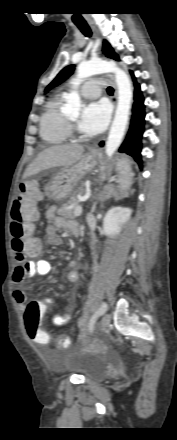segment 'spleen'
I'll list each match as a JSON object with an SVG mask.
<instances>
[{
  "mask_svg": "<svg viewBox=\"0 0 177 440\" xmlns=\"http://www.w3.org/2000/svg\"><path fill=\"white\" fill-rule=\"evenodd\" d=\"M123 167V169L125 170V176L119 181L121 184V187L126 189L131 185V176L132 174L129 172V167L128 165L125 163L124 165H120L118 167V169H121Z\"/></svg>",
  "mask_w": 177,
  "mask_h": 440,
  "instance_id": "obj_1",
  "label": "spleen"
}]
</instances>
